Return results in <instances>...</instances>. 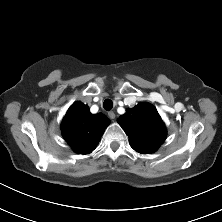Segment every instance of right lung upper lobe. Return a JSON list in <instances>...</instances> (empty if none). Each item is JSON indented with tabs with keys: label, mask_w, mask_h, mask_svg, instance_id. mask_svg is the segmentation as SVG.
<instances>
[{
	"label": "right lung upper lobe",
	"mask_w": 222,
	"mask_h": 222,
	"mask_svg": "<svg viewBox=\"0 0 222 222\" xmlns=\"http://www.w3.org/2000/svg\"><path fill=\"white\" fill-rule=\"evenodd\" d=\"M109 123L104 114H91L87 105L75 102L63 119L62 134L76 153L89 154L96 148Z\"/></svg>",
	"instance_id": "1"
}]
</instances>
